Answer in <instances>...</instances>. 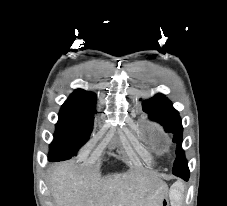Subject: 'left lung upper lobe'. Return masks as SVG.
I'll use <instances>...</instances> for the list:
<instances>
[{
	"label": "left lung upper lobe",
	"instance_id": "obj_1",
	"mask_svg": "<svg viewBox=\"0 0 227 206\" xmlns=\"http://www.w3.org/2000/svg\"><path fill=\"white\" fill-rule=\"evenodd\" d=\"M143 110L149 112L153 120L163 125L166 132L169 131L174 134L173 141L177 142V158L174 162L173 173L189 170L184 151L181 148L183 132L181 118L178 111L173 108L172 103L163 94H157L143 102Z\"/></svg>",
	"mask_w": 227,
	"mask_h": 206
}]
</instances>
